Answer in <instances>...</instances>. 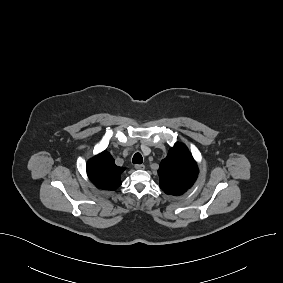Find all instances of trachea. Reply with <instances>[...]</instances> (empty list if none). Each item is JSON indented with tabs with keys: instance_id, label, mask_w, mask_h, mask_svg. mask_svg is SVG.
<instances>
[{
	"instance_id": "trachea-1",
	"label": "trachea",
	"mask_w": 283,
	"mask_h": 283,
	"mask_svg": "<svg viewBox=\"0 0 283 283\" xmlns=\"http://www.w3.org/2000/svg\"><path fill=\"white\" fill-rule=\"evenodd\" d=\"M132 162H133L134 164H141V163L143 162L142 155H141L140 153H136V154L133 156Z\"/></svg>"
}]
</instances>
